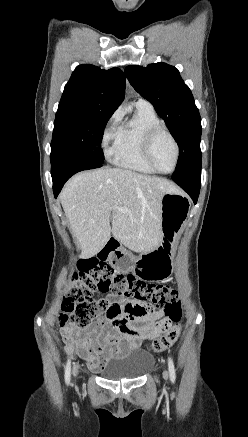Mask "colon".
Masks as SVG:
<instances>
[{"mask_svg":"<svg viewBox=\"0 0 248 437\" xmlns=\"http://www.w3.org/2000/svg\"><path fill=\"white\" fill-rule=\"evenodd\" d=\"M105 257L89 258L80 261L77 271L67 286L59 322L84 328L99 315L105 313L109 303L106 299H95V291L111 294H129L138 301H150L163 307V335L155 339L150 348L160 352L170 347L177 339L181 318V302L176 290L167 285L149 286L134 274L115 272Z\"/></svg>","mask_w":248,"mask_h":437,"instance_id":"5ec220e1","label":"colon"}]
</instances>
